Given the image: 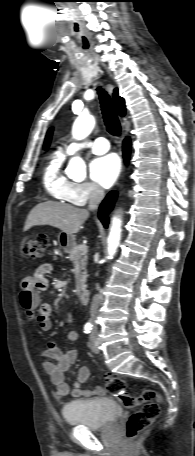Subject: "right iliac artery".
<instances>
[{"label":"right iliac artery","mask_w":195,"mask_h":456,"mask_svg":"<svg viewBox=\"0 0 195 456\" xmlns=\"http://www.w3.org/2000/svg\"><path fill=\"white\" fill-rule=\"evenodd\" d=\"M92 330V324L90 322H87L84 326V333L89 334Z\"/></svg>","instance_id":"right-iliac-artery-1"}]
</instances>
